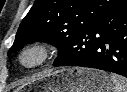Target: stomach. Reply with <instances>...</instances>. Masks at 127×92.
Instances as JSON below:
<instances>
[{
    "mask_svg": "<svg viewBox=\"0 0 127 92\" xmlns=\"http://www.w3.org/2000/svg\"><path fill=\"white\" fill-rule=\"evenodd\" d=\"M41 92H111L113 83L104 72L66 67L49 72L36 81Z\"/></svg>",
    "mask_w": 127,
    "mask_h": 92,
    "instance_id": "stomach-1",
    "label": "stomach"
}]
</instances>
